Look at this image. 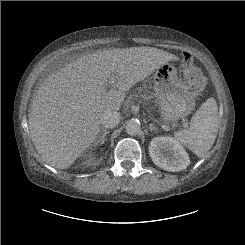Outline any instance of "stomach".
I'll return each instance as SVG.
<instances>
[{
    "label": "stomach",
    "mask_w": 245,
    "mask_h": 245,
    "mask_svg": "<svg viewBox=\"0 0 245 245\" xmlns=\"http://www.w3.org/2000/svg\"><path fill=\"white\" fill-rule=\"evenodd\" d=\"M153 84L163 121L174 123L194 109L195 98L172 64L166 63L155 70Z\"/></svg>",
    "instance_id": "0dacf381"
}]
</instances>
